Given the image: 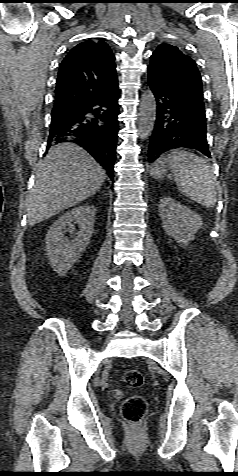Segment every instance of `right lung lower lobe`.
<instances>
[{"label": "right lung lower lobe", "mask_w": 238, "mask_h": 476, "mask_svg": "<svg viewBox=\"0 0 238 476\" xmlns=\"http://www.w3.org/2000/svg\"><path fill=\"white\" fill-rule=\"evenodd\" d=\"M118 84L67 118L51 122L52 140L74 142L87 150L113 178L118 124Z\"/></svg>", "instance_id": "obj_1"}]
</instances>
